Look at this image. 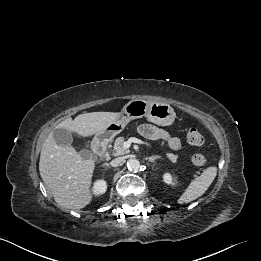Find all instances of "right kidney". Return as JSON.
I'll return each instance as SVG.
<instances>
[{"mask_svg": "<svg viewBox=\"0 0 261 261\" xmlns=\"http://www.w3.org/2000/svg\"><path fill=\"white\" fill-rule=\"evenodd\" d=\"M107 190V183L105 180H97L93 186V193L95 195L104 194Z\"/></svg>", "mask_w": 261, "mask_h": 261, "instance_id": "right-kidney-1", "label": "right kidney"}]
</instances>
